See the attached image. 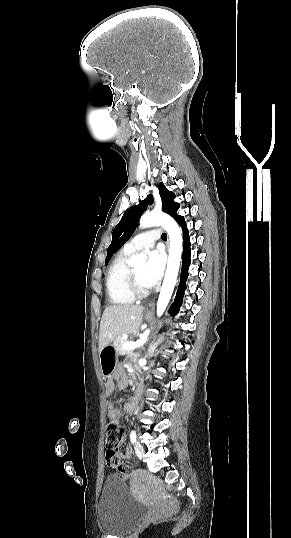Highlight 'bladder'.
<instances>
[{
    "label": "bladder",
    "mask_w": 291,
    "mask_h": 538,
    "mask_svg": "<svg viewBox=\"0 0 291 538\" xmlns=\"http://www.w3.org/2000/svg\"><path fill=\"white\" fill-rule=\"evenodd\" d=\"M145 513L146 508L130 496L120 479H107L97 506L98 521L106 534L126 535Z\"/></svg>",
    "instance_id": "1"
}]
</instances>
